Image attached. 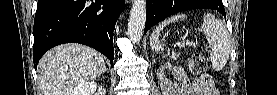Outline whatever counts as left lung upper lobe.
<instances>
[{
    "label": "left lung upper lobe",
    "instance_id": "obj_1",
    "mask_svg": "<svg viewBox=\"0 0 277 95\" xmlns=\"http://www.w3.org/2000/svg\"><path fill=\"white\" fill-rule=\"evenodd\" d=\"M180 4L182 6H191V7L204 5L203 3H200L198 0H180Z\"/></svg>",
    "mask_w": 277,
    "mask_h": 95
}]
</instances>
